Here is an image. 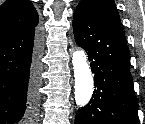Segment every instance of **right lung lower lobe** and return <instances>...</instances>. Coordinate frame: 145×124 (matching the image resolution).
Wrapping results in <instances>:
<instances>
[{"instance_id": "1", "label": "right lung lower lobe", "mask_w": 145, "mask_h": 124, "mask_svg": "<svg viewBox=\"0 0 145 124\" xmlns=\"http://www.w3.org/2000/svg\"><path fill=\"white\" fill-rule=\"evenodd\" d=\"M40 54L36 27L0 35V124H23L35 116Z\"/></svg>"}]
</instances>
